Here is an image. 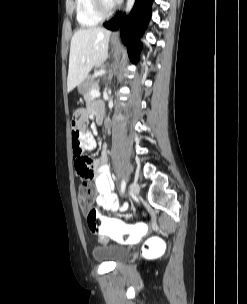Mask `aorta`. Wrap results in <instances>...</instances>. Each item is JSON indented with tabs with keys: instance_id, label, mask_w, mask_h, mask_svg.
<instances>
[{
	"instance_id": "aorta-1",
	"label": "aorta",
	"mask_w": 247,
	"mask_h": 304,
	"mask_svg": "<svg viewBox=\"0 0 247 304\" xmlns=\"http://www.w3.org/2000/svg\"><path fill=\"white\" fill-rule=\"evenodd\" d=\"M134 3H135V0H127L126 8H125L126 14H128L131 11V9L133 8Z\"/></svg>"
}]
</instances>
